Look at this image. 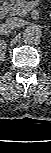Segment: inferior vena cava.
Masks as SVG:
<instances>
[{
	"label": "inferior vena cava",
	"mask_w": 51,
	"mask_h": 153,
	"mask_svg": "<svg viewBox=\"0 0 51 153\" xmlns=\"http://www.w3.org/2000/svg\"><path fill=\"white\" fill-rule=\"evenodd\" d=\"M4 25L9 30H13V29L22 27L24 25V20L17 17H11L5 21Z\"/></svg>",
	"instance_id": "obj_1"
}]
</instances>
